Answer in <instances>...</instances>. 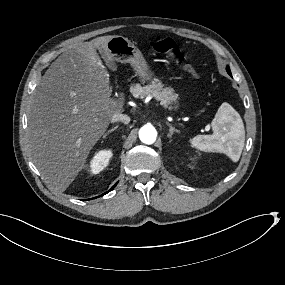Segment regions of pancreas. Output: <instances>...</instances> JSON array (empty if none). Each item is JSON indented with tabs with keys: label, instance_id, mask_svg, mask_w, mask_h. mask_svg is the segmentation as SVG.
<instances>
[{
	"label": "pancreas",
	"instance_id": "cf45deb5",
	"mask_svg": "<svg viewBox=\"0 0 285 285\" xmlns=\"http://www.w3.org/2000/svg\"><path fill=\"white\" fill-rule=\"evenodd\" d=\"M162 83L157 81V83L148 84L145 87H141L140 84H136L135 87L131 90L133 95L137 98H144V97H152L156 100H161V105L166 106L167 104V96L169 93H173V89L163 90ZM174 99L177 98V94H173ZM163 98V99H161Z\"/></svg>",
	"mask_w": 285,
	"mask_h": 285
}]
</instances>
